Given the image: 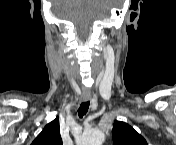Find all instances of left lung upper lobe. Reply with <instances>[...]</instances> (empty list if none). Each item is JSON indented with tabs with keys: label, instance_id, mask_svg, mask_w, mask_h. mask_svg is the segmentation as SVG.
Wrapping results in <instances>:
<instances>
[{
	"label": "left lung upper lobe",
	"instance_id": "5c2ea615",
	"mask_svg": "<svg viewBox=\"0 0 176 145\" xmlns=\"http://www.w3.org/2000/svg\"><path fill=\"white\" fill-rule=\"evenodd\" d=\"M112 135L114 145H147L146 140L124 122H114Z\"/></svg>",
	"mask_w": 176,
	"mask_h": 145
}]
</instances>
